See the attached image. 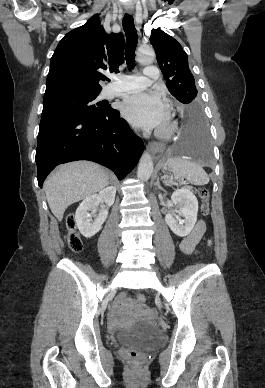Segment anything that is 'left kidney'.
Wrapping results in <instances>:
<instances>
[{
    "label": "left kidney",
    "instance_id": "1",
    "mask_svg": "<svg viewBox=\"0 0 265 388\" xmlns=\"http://www.w3.org/2000/svg\"><path fill=\"white\" fill-rule=\"evenodd\" d=\"M171 200L172 204H180V210H174V212H178L179 216H182L185 220H181L180 224H178L177 220H179V216L171 212V214H166L165 222L176 236L184 238V236L190 234L196 224L198 200L190 192L189 188L176 190V192H173Z\"/></svg>",
    "mask_w": 265,
    "mask_h": 388
}]
</instances>
